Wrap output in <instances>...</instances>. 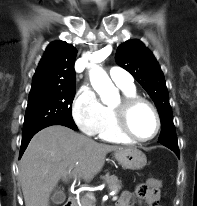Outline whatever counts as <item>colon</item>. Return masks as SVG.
I'll use <instances>...</instances> for the list:
<instances>
[{"instance_id": "1", "label": "colon", "mask_w": 197, "mask_h": 206, "mask_svg": "<svg viewBox=\"0 0 197 206\" xmlns=\"http://www.w3.org/2000/svg\"><path fill=\"white\" fill-rule=\"evenodd\" d=\"M147 186L153 188V189H156L160 186V181L157 180V179H149L147 181Z\"/></svg>"}]
</instances>
